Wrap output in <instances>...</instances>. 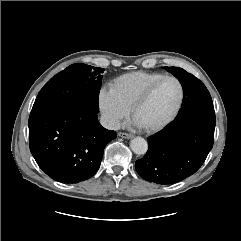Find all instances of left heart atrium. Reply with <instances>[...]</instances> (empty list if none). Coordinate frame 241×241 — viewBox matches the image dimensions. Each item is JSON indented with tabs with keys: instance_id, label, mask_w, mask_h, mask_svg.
<instances>
[{
	"instance_id": "39dd6f15",
	"label": "left heart atrium",
	"mask_w": 241,
	"mask_h": 241,
	"mask_svg": "<svg viewBox=\"0 0 241 241\" xmlns=\"http://www.w3.org/2000/svg\"><path fill=\"white\" fill-rule=\"evenodd\" d=\"M133 124L137 127H141L140 124L135 119L133 120Z\"/></svg>"
}]
</instances>
